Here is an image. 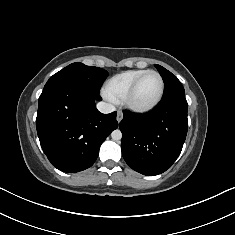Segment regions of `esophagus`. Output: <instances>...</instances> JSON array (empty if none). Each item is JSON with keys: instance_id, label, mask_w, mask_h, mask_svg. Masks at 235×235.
Instances as JSON below:
<instances>
[{"instance_id": "1", "label": "esophagus", "mask_w": 235, "mask_h": 235, "mask_svg": "<svg viewBox=\"0 0 235 235\" xmlns=\"http://www.w3.org/2000/svg\"><path fill=\"white\" fill-rule=\"evenodd\" d=\"M118 123L121 122V120L123 119V113L121 111H117V117H116Z\"/></svg>"}]
</instances>
